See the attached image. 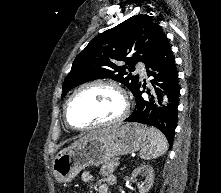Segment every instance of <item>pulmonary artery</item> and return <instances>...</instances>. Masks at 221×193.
<instances>
[{
	"label": "pulmonary artery",
	"mask_w": 221,
	"mask_h": 193,
	"mask_svg": "<svg viewBox=\"0 0 221 193\" xmlns=\"http://www.w3.org/2000/svg\"><path fill=\"white\" fill-rule=\"evenodd\" d=\"M136 70H137V72L140 73V75H141L142 77H144V76L146 75V70H145L144 65L138 64V65L136 66Z\"/></svg>",
	"instance_id": "obj_1"
}]
</instances>
